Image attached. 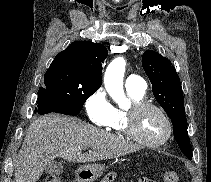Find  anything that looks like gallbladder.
Wrapping results in <instances>:
<instances>
[{"label":"gallbladder","instance_id":"bac80fb5","mask_svg":"<svg viewBox=\"0 0 211 182\" xmlns=\"http://www.w3.org/2000/svg\"><path fill=\"white\" fill-rule=\"evenodd\" d=\"M45 170L48 174H50L52 176H58V175L62 174L63 166L60 161L53 160L46 166Z\"/></svg>","mask_w":211,"mask_h":182}]
</instances>
